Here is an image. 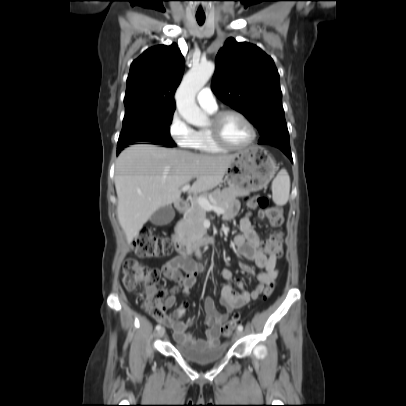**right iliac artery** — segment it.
<instances>
[{
    "mask_svg": "<svg viewBox=\"0 0 406 406\" xmlns=\"http://www.w3.org/2000/svg\"><path fill=\"white\" fill-rule=\"evenodd\" d=\"M160 329H161V325L158 324V325L156 326V330H160Z\"/></svg>",
    "mask_w": 406,
    "mask_h": 406,
    "instance_id": "right-iliac-artery-1",
    "label": "right iliac artery"
}]
</instances>
